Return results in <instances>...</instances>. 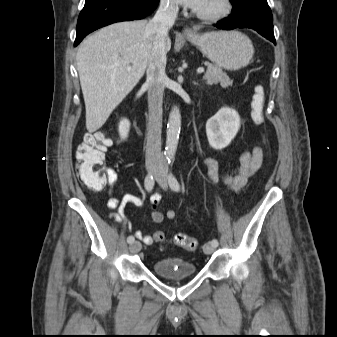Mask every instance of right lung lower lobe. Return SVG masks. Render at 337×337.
<instances>
[{
	"label": "right lung lower lobe",
	"mask_w": 337,
	"mask_h": 337,
	"mask_svg": "<svg viewBox=\"0 0 337 337\" xmlns=\"http://www.w3.org/2000/svg\"><path fill=\"white\" fill-rule=\"evenodd\" d=\"M158 3L159 0H86L78 18L74 46L98 28L148 16Z\"/></svg>",
	"instance_id": "1"
}]
</instances>
